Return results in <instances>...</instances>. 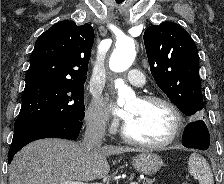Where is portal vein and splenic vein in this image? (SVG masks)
Listing matches in <instances>:
<instances>
[{
	"mask_svg": "<svg viewBox=\"0 0 224 184\" xmlns=\"http://www.w3.org/2000/svg\"><path fill=\"white\" fill-rule=\"evenodd\" d=\"M60 184H89V183H84L81 181H64V182H61ZM90 184H95V183H90ZM130 184H138V182H131Z\"/></svg>",
	"mask_w": 224,
	"mask_h": 184,
	"instance_id": "18ae733b",
	"label": "portal vein and splenic vein"
}]
</instances>
